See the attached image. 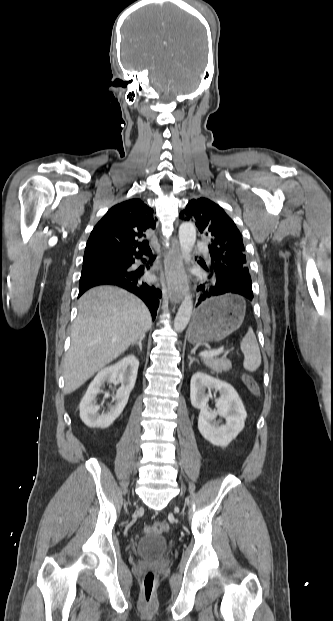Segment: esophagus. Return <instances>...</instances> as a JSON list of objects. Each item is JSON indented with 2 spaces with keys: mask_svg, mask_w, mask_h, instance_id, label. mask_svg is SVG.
I'll return each instance as SVG.
<instances>
[{
  "mask_svg": "<svg viewBox=\"0 0 333 621\" xmlns=\"http://www.w3.org/2000/svg\"><path fill=\"white\" fill-rule=\"evenodd\" d=\"M165 270L168 285V296L172 303H179L185 294V280L182 273V258L177 239L165 256Z\"/></svg>",
  "mask_w": 333,
  "mask_h": 621,
  "instance_id": "obj_1",
  "label": "esophagus"
}]
</instances>
